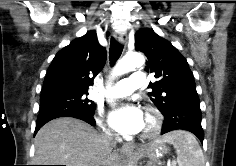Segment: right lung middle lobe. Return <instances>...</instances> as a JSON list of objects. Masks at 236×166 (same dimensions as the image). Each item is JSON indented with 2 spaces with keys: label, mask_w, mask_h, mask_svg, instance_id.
I'll list each match as a JSON object with an SVG mask.
<instances>
[{
  "label": "right lung middle lobe",
  "mask_w": 236,
  "mask_h": 166,
  "mask_svg": "<svg viewBox=\"0 0 236 166\" xmlns=\"http://www.w3.org/2000/svg\"><path fill=\"white\" fill-rule=\"evenodd\" d=\"M88 92L68 87H53L41 92L39 115L67 109H81L94 114L95 104L87 98Z\"/></svg>",
  "instance_id": "right-lung-middle-lobe-1"
}]
</instances>
